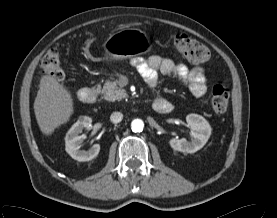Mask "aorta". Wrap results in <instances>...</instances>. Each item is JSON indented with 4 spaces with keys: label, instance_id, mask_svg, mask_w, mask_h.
I'll return each mask as SVG.
<instances>
[{
    "label": "aorta",
    "instance_id": "762f6f07",
    "mask_svg": "<svg viewBox=\"0 0 277 218\" xmlns=\"http://www.w3.org/2000/svg\"><path fill=\"white\" fill-rule=\"evenodd\" d=\"M144 128V123L141 119H134L131 123V129L133 132H141Z\"/></svg>",
    "mask_w": 277,
    "mask_h": 218
}]
</instances>
